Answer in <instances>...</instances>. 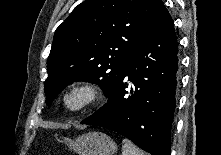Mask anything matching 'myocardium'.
<instances>
[{
    "instance_id": "myocardium-1",
    "label": "myocardium",
    "mask_w": 221,
    "mask_h": 155,
    "mask_svg": "<svg viewBox=\"0 0 221 155\" xmlns=\"http://www.w3.org/2000/svg\"><path fill=\"white\" fill-rule=\"evenodd\" d=\"M102 96L100 86L93 81L73 83L61 96L63 108L70 113L82 112L95 105ZM75 100L74 103L72 101Z\"/></svg>"
}]
</instances>
